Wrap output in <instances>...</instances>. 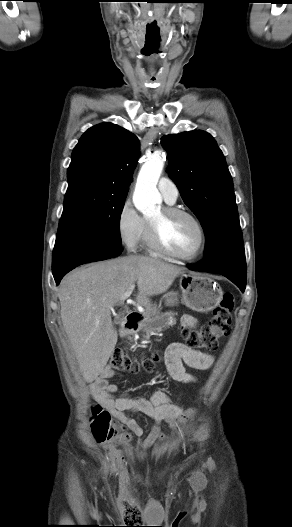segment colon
Returning a JSON list of instances; mask_svg holds the SVG:
<instances>
[{
    "label": "colon",
    "mask_w": 292,
    "mask_h": 527,
    "mask_svg": "<svg viewBox=\"0 0 292 527\" xmlns=\"http://www.w3.org/2000/svg\"><path fill=\"white\" fill-rule=\"evenodd\" d=\"M234 304L233 294L226 292L220 304L213 311L208 324L197 330L182 326L181 333L187 344L194 349H216L219 339L227 336L231 331V313ZM160 359L161 354L159 352H155L152 356L142 360H137L128 356L124 350L117 349L111 357L110 365L119 371L136 373L143 369L151 372ZM91 426L94 438L100 444L124 443L129 439L128 434L112 422L109 411L99 403L92 406ZM129 509L131 512L139 514L136 507Z\"/></svg>",
    "instance_id": "1"
}]
</instances>
